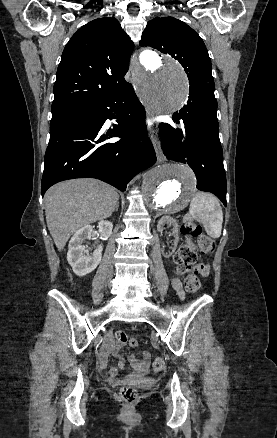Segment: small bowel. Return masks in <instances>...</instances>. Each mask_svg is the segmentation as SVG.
Here are the masks:
<instances>
[{
    "label": "small bowel",
    "mask_w": 277,
    "mask_h": 438,
    "mask_svg": "<svg viewBox=\"0 0 277 438\" xmlns=\"http://www.w3.org/2000/svg\"><path fill=\"white\" fill-rule=\"evenodd\" d=\"M172 285L174 287V289L177 291L178 295L180 297L183 296V291H182V285L179 279L174 278L172 280ZM116 338L113 335H110L107 337V341L104 342L103 347H104V352L101 353L100 355V362L99 365L102 368L107 367L108 362L106 359V357H111L113 355V353L116 354V349L118 350H122L125 347L124 342L122 341H118L115 342ZM129 360L132 363L133 367L139 372V373H144L148 367V363L150 360V354L148 351H143L141 358H137L133 355L129 356ZM118 361L119 363L122 365L124 362V358L122 356H118ZM107 377L110 380L116 381L117 380V374L115 370H110L107 373Z\"/></svg>",
    "instance_id": "small-bowel-1"
}]
</instances>
